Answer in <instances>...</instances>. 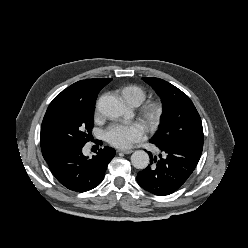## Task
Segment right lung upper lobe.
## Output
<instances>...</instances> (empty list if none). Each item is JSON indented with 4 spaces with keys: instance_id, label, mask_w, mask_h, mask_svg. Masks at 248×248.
<instances>
[{
    "instance_id": "obj_1",
    "label": "right lung upper lobe",
    "mask_w": 248,
    "mask_h": 248,
    "mask_svg": "<svg viewBox=\"0 0 248 248\" xmlns=\"http://www.w3.org/2000/svg\"><path fill=\"white\" fill-rule=\"evenodd\" d=\"M111 80L112 79L110 78H96L78 81L58 94L50 103L46 112L64 102L95 104L99 91ZM41 150L43 157L46 160L59 149L48 145L41 134Z\"/></svg>"
}]
</instances>
